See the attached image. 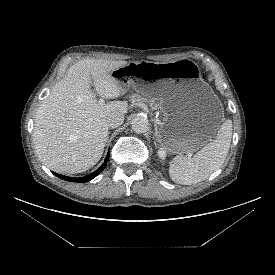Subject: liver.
Masks as SVG:
<instances>
[{
	"instance_id": "obj_1",
	"label": "liver",
	"mask_w": 275,
	"mask_h": 275,
	"mask_svg": "<svg viewBox=\"0 0 275 275\" xmlns=\"http://www.w3.org/2000/svg\"><path fill=\"white\" fill-rule=\"evenodd\" d=\"M122 60L84 59L72 65L40 104L33 142L41 161L59 173H82L101 158L108 136L107 117L128 111L125 101L100 105L92 92L103 98H117L125 90L112 77Z\"/></svg>"
}]
</instances>
